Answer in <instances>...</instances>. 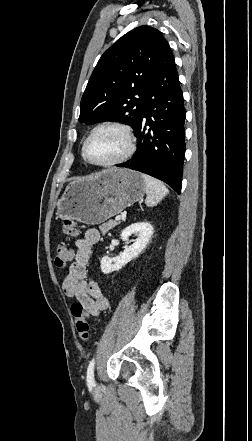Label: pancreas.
<instances>
[{"mask_svg": "<svg viewBox=\"0 0 252 441\" xmlns=\"http://www.w3.org/2000/svg\"><path fill=\"white\" fill-rule=\"evenodd\" d=\"M118 224H119V222L110 220L106 223L99 225V229L102 232V234L105 235L109 230H111L112 228H114Z\"/></svg>", "mask_w": 252, "mask_h": 441, "instance_id": "1", "label": "pancreas"}]
</instances>
